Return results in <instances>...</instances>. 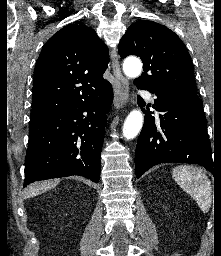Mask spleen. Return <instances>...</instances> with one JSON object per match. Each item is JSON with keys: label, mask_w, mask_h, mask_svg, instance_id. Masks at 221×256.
<instances>
[{"label": "spleen", "mask_w": 221, "mask_h": 256, "mask_svg": "<svg viewBox=\"0 0 221 256\" xmlns=\"http://www.w3.org/2000/svg\"><path fill=\"white\" fill-rule=\"evenodd\" d=\"M173 178L206 213L212 203V185L207 175L199 168L182 165L173 169Z\"/></svg>", "instance_id": "3e777b00"}]
</instances>
